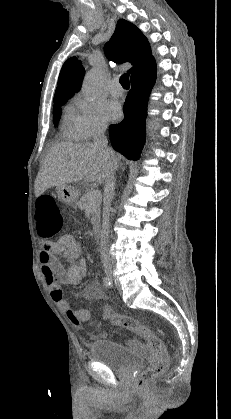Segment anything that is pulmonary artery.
I'll list each match as a JSON object with an SVG mask.
<instances>
[{"label": "pulmonary artery", "mask_w": 231, "mask_h": 419, "mask_svg": "<svg viewBox=\"0 0 231 419\" xmlns=\"http://www.w3.org/2000/svg\"><path fill=\"white\" fill-rule=\"evenodd\" d=\"M109 92L114 97H119L123 94V89L117 80L111 82Z\"/></svg>", "instance_id": "e3ab8cb5"}]
</instances>
